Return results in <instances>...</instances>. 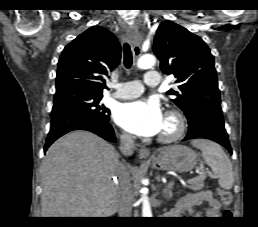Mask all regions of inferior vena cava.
<instances>
[{
	"instance_id": "inferior-vena-cava-1",
	"label": "inferior vena cava",
	"mask_w": 258,
	"mask_h": 227,
	"mask_svg": "<svg viewBox=\"0 0 258 227\" xmlns=\"http://www.w3.org/2000/svg\"><path fill=\"white\" fill-rule=\"evenodd\" d=\"M135 144L131 135L122 134L120 136V150L126 156H131L134 152ZM118 174L120 183L118 188L117 203L119 217H132V189L129 172L122 163L119 164Z\"/></svg>"
}]
</instances>
